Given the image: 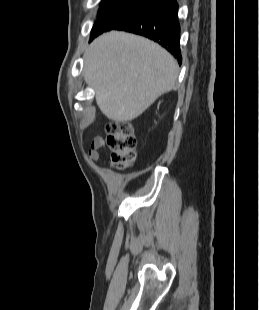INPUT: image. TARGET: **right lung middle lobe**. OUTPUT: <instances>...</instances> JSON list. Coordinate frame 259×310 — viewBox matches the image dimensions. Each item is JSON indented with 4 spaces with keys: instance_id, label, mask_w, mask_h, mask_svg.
Instances as JSON below:
<instances>
[{
    "instance_id": "right-lung-middle-lobe-1",
    "label": "right lung middle lobe",
    "mask_w": 259,
    "mask_h": 310,
    "mask_svg": "<svg viewBox=\"0 0 259 310\" xmlns=\"http://www.w3.org/2000/svg\"><path fill=\"white\" fill-rule=\"evenodd\" d=\"M159 0H110L100 4L90 39L114 30L128 20L157 5Z\"/></svg>"
}]
</instances>
